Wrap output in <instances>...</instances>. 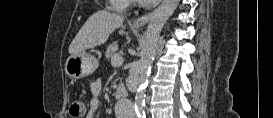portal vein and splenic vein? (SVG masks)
<instances>
[{
  "mask_svg": "<svg viewBox=\"0 0 273 118\" xmlns=\"http://www.w3.org/2000/svg\"><path fill=\"white\" fill-rule=\"evenodd\" d=\"M111 62L113 64H116V65H121L123 63V58L120 54H115L113 57H112V60Z\"/></svg>",
  "mask_w": 273,
  "mask_h": 118,
  "instance_id": "1",
  "label": "portal vein and splenic vein"
}]
</instances>
